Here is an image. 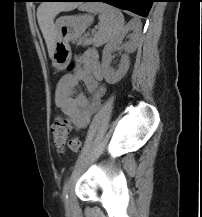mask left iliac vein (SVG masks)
<instances>
[{
	"label": "left iliac vein",
	"instance_id": "4c4485c4",
	"mask_svg": "<svg viewBox=\"0 0 202 217\" xmlns=\"http://www.w3.org/2000/svg\"><path fill=\"white\" fill-rule=\"evenodd\" d=\"M67 198L65 199V208L69 209L71 206V198H70V194H69V190L67 192Z\"/></svg>",
	"mask_w": 202,
	"mask_h": 217
}]
</instances>
